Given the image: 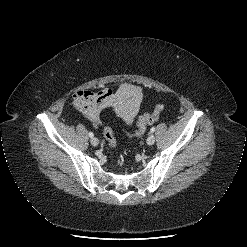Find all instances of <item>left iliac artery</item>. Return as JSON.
<instances>
[{"instance_id":"1","label":"left iliac artery","mask_w":247,"mask_h":247,"mask_svg":"<svg viewBox=\"0 0 247 247\" xmlns=\"http://www.w3.org/2000/svg\"><path fill=\"white\" fill-rule=\"evenodd\" d=\"M155 129H156V128L153 126V127L151 128L150 132H151V133H154V132H155Z\"/></svg>"}]
</instances>
